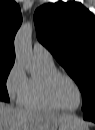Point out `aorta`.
Returning a JSON list of instances; mask_svg holds the SVG:
<instances>
[{"label": "aorta", "mask_w": 95, "mask_h": 130, "mask_svg": "<svg viewBox=\"0 0 95 130\" xmlns=\"http://www.w3.org/2000/svg\"><path fill=\"white\" fill-rule=\"evenodd\" d=\"M32 24L26 23L21 26L15 37V56L22 63L27 72H36V63L32 51Z\"/></svg>", "instance_id": "obj_1"}]
</instances>
